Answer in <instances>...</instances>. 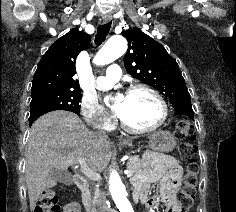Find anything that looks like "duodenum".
<instances>
[{"label": "duodenum", "mask_w": 236, "mask_h": 212, "mask_svg": "<svg viewBox=\"0 0 236 212\" xmlns=\"http://www.w3.org/2000/svg\"><path fill=\"white\" fill-rule=\"evenodd\" d=\"M74 181H75V184L77 185V187L82 192L83 200L87 204V211L88 212H99L98 209L95 206L90 205L88 203L89 185H88V182H87L86 178L84 177V175H82L81 173H77L74 177ZM135 198L136 199L139 198V192L138 191L135 193Z\"/></svg>", "instance_id": "410a0bca"}]
</instances>
